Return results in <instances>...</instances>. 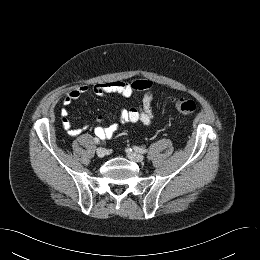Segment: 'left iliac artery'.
Returning a JSON list of instances; mask_svg holds the SVG:
<instances>
[{"label":"left iliac artery","mask_w":260,"mask_h":260,"mask_svg":"<svg viewBox=\"0 0 260 260\" xmlns=\"http://www.w3.org/2000/svg\"><path fill=\"white\" fill-rule=\"evenodd\" d=\"M134 150L139 152V153H143V154L148 152L147 149L140 148V147H137V146H134Z\"/></svg>","instance_id":"left-iliac-artery-1"}]
</instances>
